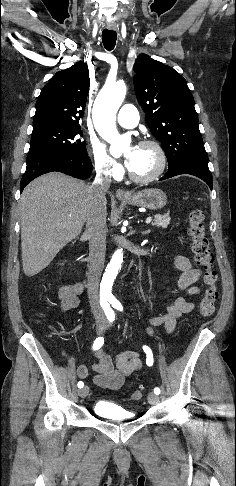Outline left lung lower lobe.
I'll return each instance as SVG.
<instances>
[{"label":"left lung lower lobe","mask_w":236,"mask_h":486,"mask_svg":"<svg viewBox=\"0 0 236 486\" xmlns=\"http://www.w3.org/2000/svg\"><path fill=\"white\" fill-rule=\"evenodd\" d=\"M180 174L194 175L202 179L203 181H205L209 185L210 189H212L213 179H212L211 172L209 171V168L207 166H201L195 164L178 165L173 168H169L165 176H163L160 180H165Z\"/></svg>","instance_id":"1"}]
</instances>
